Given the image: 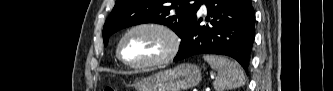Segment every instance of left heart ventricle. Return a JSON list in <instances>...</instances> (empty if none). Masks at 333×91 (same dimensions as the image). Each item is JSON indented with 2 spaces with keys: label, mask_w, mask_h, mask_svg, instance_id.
Wrapping results in <instances>:
<instances>
[{
  "label": "left heart ventricle",
  "mask_w": 333,
  "mask_h": 91,
  "mask_svg": "<svg viewBox=\"0 0 333 91\" xmlns=\"http://www.w3.org/2000/svg\"><path fill=\"white\" fill-rule=\"evenodd\" d=\"M168 49L164 35L153 30H138L124 43V57L132 63H141L162 57Z\"/></svg>",
  "instance_id": "obj_1"
}]
</instances>
